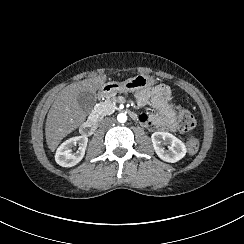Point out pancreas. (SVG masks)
<instances>
[{"mask_svg": "<svg viewBox=\"0 0 244 244\" xmlns=\"http://www.w3.org/2000/svg\"><path fill=\"white\" fill-rule=\"evenodd\" d=\"M113 106V101L110 99H107L105 102L100 104V108L104 110L105 113H108L111 110V107Z\"/></svg>", "mask_w": 244, "mask_h": 244, "instance_id": "cf45deb5", "label": "pancreas"}]
</instances>
